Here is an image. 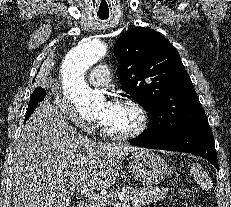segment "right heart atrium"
I'll list each match as a JSON object with an SVG mask.
<instances>
[{
    "label": "right heart atrium",
    "mask_w": 231,
    "mask_h": 207,
    "mask_svg": "<svg viewBox=\"0 0 231 207\" xmlns=\"http://www.w3.org/2000/svg\"><path fill=\"white\" fill-rule=\"evenodd\" d=\"M54 106L61 115L65 116L82 132L92 134L95 131L97 125L94 120L81 114L66 97L56 95L54 98Z\"/></svg>",
    "instance_id": "1"
}]
</instances>
